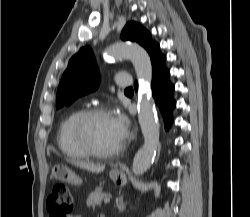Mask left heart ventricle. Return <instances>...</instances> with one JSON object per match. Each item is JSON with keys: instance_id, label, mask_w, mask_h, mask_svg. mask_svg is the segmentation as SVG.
<instances>
[{"instance_id": "1", "label": "left heart ventricle", "mask_w": 250, "mask_h": 217, "mask_svg": "<svg viewBox=\"0 0 250 217\" xmlns=\"http://www.w3.org/2000/svg\"><path fill=\"white\" fill-rule=\"evenodd\" d=\"M92 142L100 149L111 150L122 144L109 114L94 118L89 124Z\"/></svg>"}]
</instances>
